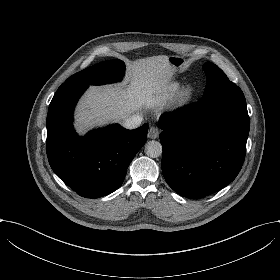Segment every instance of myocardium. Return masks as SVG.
I'll list each match as a JSON object with an SVG mask.
<instances>
[{"label":"myocardium","instance_id":"1","mask_svg":"<svg viewBox=\"0 0 280 280\" xmlns=\"http://www.w3.org/2000/svg\"><path fill=\"white\" fill-rule=\"evenodd\" d=\"M198 92L199 88L195 82L189 81L185 83L176 100V106L182 107L191 103L197 97Z\"/></svg>","mask_w":280,"mask_h":280}]
</instances>
